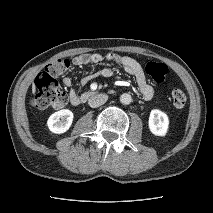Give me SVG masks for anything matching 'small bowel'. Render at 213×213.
Returning <instances> with one entry per match:
<instances>
[{
	"label": "small bowel",
	"instance_id": "c3829d8e",
	"mask_svg": "<svg viewBox=\"0 0 213 213\" xmlns=\"http://www.w3.org/2000/svg\"><path fill=\"white\" fill-rule=\"evenodd\" d=\"M104 61L112 62V66L102 68L98 73L86 76L81 79L80 84H87L92 78L100 75L105 78L112 77L115 72V67H121L126 73L133 76L137 82L138 89L145 100L150 101L154 98V88L148 83L142 66L138 61L129 56H118L115 54L102 55L99 53L80 54L72 59V64L75 66H85L89 64H98ZM63 84L69 89V100L71 104L77 105L80 102V96L73 88V82L70 77L63 78Z\"/></svg>",
	"mask_w": 213,
	"mask_h": 213
}]
</instances>
